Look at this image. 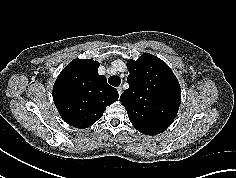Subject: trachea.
<instances>
[{"label": "trachea", "instance_id": "trachea-1", "mask_svg": "<svg viewBox=\"0 0 236 178\" xmlns=\"http://www.w3.org/2000/svg\"><path fill=\"white\" fill-rule=\"evenodd\" d=\"M108 83L114 87H118L121 83V79L118 76H111L108 79Z\"/></svg>", "mask_w": 236, "mask_h": 178}]
</instances>
